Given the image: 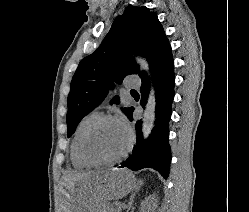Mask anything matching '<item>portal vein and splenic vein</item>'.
Segmentation results:
<instances>
[{"label": "portal vein and splenic vein", "instance_id": "1", "mask_svg": "<svg viewBox=\"0 0 249 212\" xmlns=\"http://www.w3.org/2000/svg\"><path fill=\"white\" fill-rule=\"evenodd\" d=\"M112 212H114V210H112ZM117 212H120V210H117Z\"/></svg>", "mask_w": 249, "mask_h": 212}]
</instances>
